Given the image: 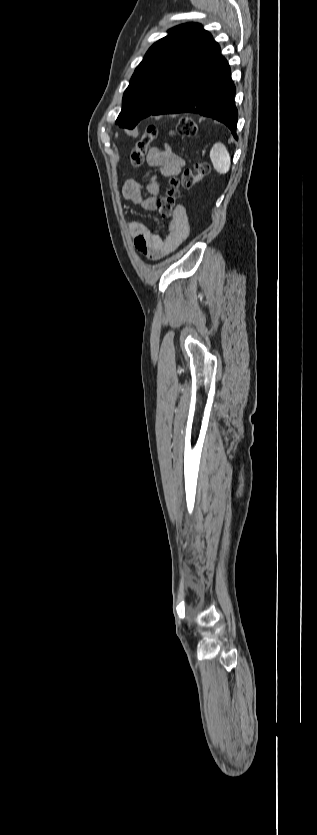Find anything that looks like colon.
Segmentation results:
<instances>
[{
  "label": "colon",
  "mask_w": 317,
  "mask_h": 835,
  "mask_svg": "<svg viewBox=\"0 0 317 835\" xmlns=\"http://www.w3.org/2000/svg\"><path fill=\"white\" fill-rule=\"evenodd\" d=\"M198 128L195 121L191 117L182 118L176 128V134L181 137H195ZM158 132L155 126L146 128L144 134L136 142L132 152L131 161L135 166H139L144 162L145 155L149 144L157 137ZM210 167L205 162H196L192 169H186L179 178H171L164 195L157 203L158 213L162 220H169L175 210L176 202L180 194V189H189L200 179L208 175Z\"/></svg>",
  "instance_id": "obj_1"
}]
</instances>
